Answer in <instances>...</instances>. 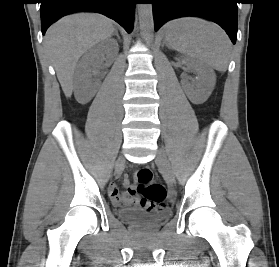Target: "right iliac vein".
Listing matches in <instances>:
<instances>
[{
    "mask_svg": "<svg viewBox=\"0 0 279 267\" xmlns=\"http://www.w3.org/2000/svg\"><path fill=\"white\" fill-rule=\"evenodd\" d=\"M124 163H125V160L124 158L121 156L118 158L117 160V163H116V173H120L124 167Z\"/></svg>",
    "mask_w": 279,
    "mask_h": 267,
    "instance_id": "obj_1",
    "label": "right iliac vein"
}]
</instances>
